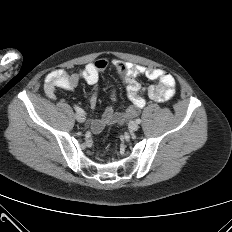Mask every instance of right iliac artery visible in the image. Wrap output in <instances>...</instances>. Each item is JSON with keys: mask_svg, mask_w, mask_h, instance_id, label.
Returning <instances> with one entry per match:
<instances>
[{"mask_svg": "<svg viewBox=\"0 0 232 232\" xmlns=\"http://www.w3.org/2000/svg\"><path fill=\"white\" fill-rule=\"evenodd\" d=\"M74 109H75V111L77 112V113H80V114H85L84 113V111L80 108V107H78V106H74Z\"/></svg>", "mask_w": 232, "mask_h": 232, "instance_id": "82829eb1", "label": "right iliac artery"}]
</instances>
